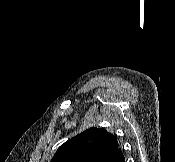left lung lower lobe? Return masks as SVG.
<instances>
[{
  "mask_svg": "<svg viewBox=\"0 0 175 162\" xmlns=\"http://www.w3.org/2000/svg\"><path fill=\"white\" fill-rule=\"evenodd\" d=\"M105 162H125V158L122 151L117 148L109 155Z\"/></svg>",
  "mask_w": 175,
  "mask_h": 162,
  "instance_id": "obj_1",
  "label": "left lung lower lobe"
}]
</instances>
